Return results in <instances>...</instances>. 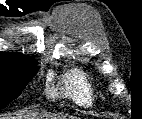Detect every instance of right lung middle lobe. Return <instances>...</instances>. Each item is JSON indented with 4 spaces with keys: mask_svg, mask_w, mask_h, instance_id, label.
I'll list each match as a JSON object with an SVG mask.
<instances>
[{
    "mask_svg": "<svg viewBox=\"0 0 142 119\" xmlns=\"http://www.w3.org/2000/svg\"><path fill=\"white\" fill-rule=\"evenodd\" d=\"M36 63L13 68H0V109L21 95L37 72Z\"/></svg>",
    "mask_w": 142,
    "mask_h": 119,
    "instance_id": "right-lung-middle-lobe-1",
    "label": "right lung middle lobe"
}]
</instances>
